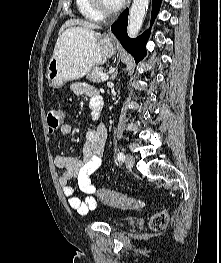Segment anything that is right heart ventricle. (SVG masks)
<instances>
[{
	"mask_svg": "<svg viewBox=\"0 0 221 263\" xmlns=\"http://www.w3.org/2000/svg\"><path fill=\"white\" fill-rule=\"evenodd\" d=\"M78 11L85 18L92 21H101L103 19L89 4L88 0H75Z\"/></svg>",
	"mask_w": 221,
	"mask_h": 263,
	"instance_id": "1",
	"label": "right heart ventricle"
}]
</instances>
